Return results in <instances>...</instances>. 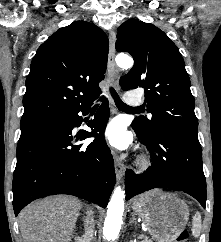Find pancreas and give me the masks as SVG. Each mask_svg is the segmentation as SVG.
Returning a JSON list of instances; mask_svg holds the SVG:
<instances>
[{"label":"pancreas","instance_id":"pancreas-1","mask_svg":"<svg viewBox=\"0 0 221 242\" xmlns=\"http://www.w3.org/2000/svg\"><path fill=\"white\" fill-rule=\"evenodd\" d=\"M143 238H144V240H142L141 242H152V241L148 240V238L145 236H143Z\"/></svg>","mask_w":221,"mask_h":242}]
</instances>
